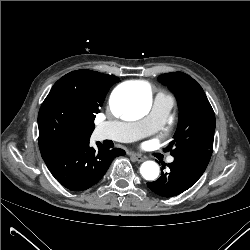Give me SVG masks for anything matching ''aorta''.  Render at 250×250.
I'll use <instances>...</instances> for the list:
<instances>
[{
    "label": "aorta",
    "instance_id": "obj_1",
    "mask_svg": "<svg viewBox=\"0 0 250 250\" xmlns=\"http://www.w3.org/2000/svg\"><path fill=\"white\" fill-rule=\"evenodd\" d=\"M152 95L149 87L144 85L117 88L111 97L112 111L127 120H138L150 110ZM144 179L152 181L159 175V166L154 161H146L140 167Z\"/></svg>",
    "mask_w": 250,
    "mask_h": 250
}]
</instances>
